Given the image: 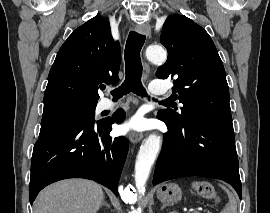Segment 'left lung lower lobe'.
Listing matches in <instances>:
<instances>
[{"instance_id": "left-lung-lower-lobe-1", "label": "left lung lower lobe", "mask_w": 270, "mask_h": 213, "mask_svg": "<svg viewBox=\"0 0 270 213\" xmlns=\"http://www.w3.org/2000/svg\"><path fill=\"white\" fill-rule=\"evenodd\" d=\"M168 127L158 157L153 185L203 176L229 183L242 194L232 119L193 118L183 126L157 115Z\"/></svg>"}]
</instances>
